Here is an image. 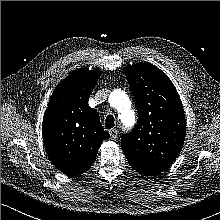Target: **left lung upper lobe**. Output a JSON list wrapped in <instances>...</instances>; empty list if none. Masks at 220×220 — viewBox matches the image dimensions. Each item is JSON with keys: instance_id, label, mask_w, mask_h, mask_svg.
<instances>
[{"instance_id": "5c2ea615", "label": "left lung upper lobe", "mask_w": 220, "mask_h": 220, "mask_svg": "<svg viewBox=\"0 0 220 220\" xmlns=\"http://www.w3.org/2000/svg\"><path fill=\"white\" fill-rule=\"evenodd\" d=\"M133 91L138 122L122 136L128 163L145 176L165 171L180 153L186 120L179 94L168 76L150 63L124 68Z\"/></svg>"}]
</instances>
